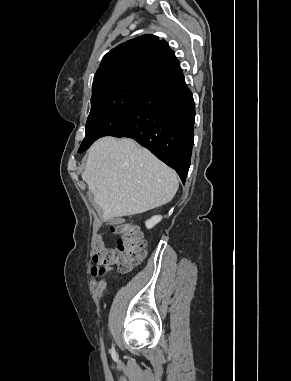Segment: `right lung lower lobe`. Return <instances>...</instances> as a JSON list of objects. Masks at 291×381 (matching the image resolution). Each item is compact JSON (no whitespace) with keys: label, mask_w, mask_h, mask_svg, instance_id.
<instances>
[{"label":"right lung lower lobe","mask_w":291,"mask_h":381,"mask_svg":"<svg viewBox=\"0 0 291 381\" xmlns=\"http://www.w3.org/2000/svg\"><path fill=\"white\" fill-rule=\"evenodd\" d=\"M195 108L179 61L144 77L115 137H129L172 167L183 183L190 167Z\"/></svg>","instance_id":"98d812e1"}]
</instances>
